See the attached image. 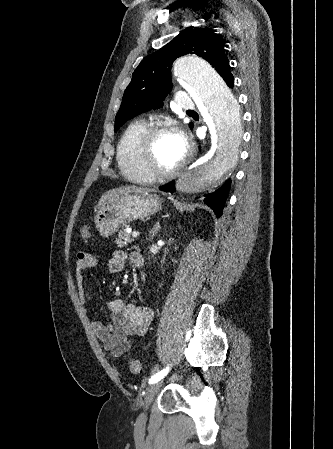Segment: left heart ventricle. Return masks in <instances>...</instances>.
I'll return each instance as SVG.
<instances>
[{"instance_id": "b2bd125f", "label": "left heart ventricle", "mask_w": 333, "mask_h": 449, "mask_svg": "<svg viewBox=\"0 0 333 449\" xmlns=\"http://www.w3.org/2000/svg\"><path fill=\"white\" fill-rule=\"evenodd\" d=\"M176 133L163 132L157 136L154 145V164L163 171L175 168L185 156Z\"/></svg>"}]
</instances>
